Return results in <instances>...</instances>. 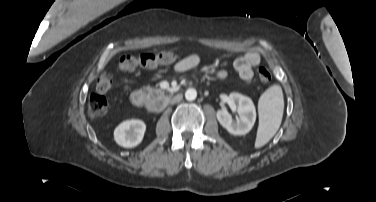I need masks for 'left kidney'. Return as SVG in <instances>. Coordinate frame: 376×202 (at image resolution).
Listing matches in <instances>:
<instances>
[{
  "label": "left kidney",
  "mask_w": 376,
  "mask_h": 202,
  "mask_svg": "<svg viewBox=\"0 0 376 202\" xmlns=\"http://www.w3.org/2000/svg\"><path fill=\"white\" fill-rule=\"evenodd\" d=\"M229 103L236 105L240 119L234 121L227 112L219 110L216 114L219 123L230 134H247L252 129L256 120V110L252 100L247 96L233 92L229 95Z\"/></svg>",
  "instance_id": "1"
}]
</instances>
